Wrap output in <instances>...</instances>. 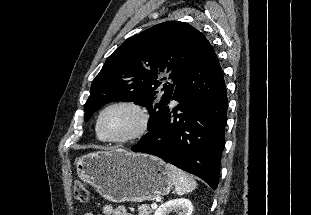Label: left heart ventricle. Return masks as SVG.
<instances>
[{
    "instance_id": "left-heart-ventricle-1",
    "label": "left heart ventricle",
    "mask_w": 311,
    "mask_h": 215,
    "mask_svg": "<svg viewBox=\"0 0 311 215\" xmlns=\"http://www.w3.org/2000/svg\"><path fill=\"white\" fill-rule=\"evenodd\" d=\"M140 124L138 113L132 108L118 106L109 109L102 118V130L109 137H123L133 133Z\"/></svg>"
}]
</instances>
